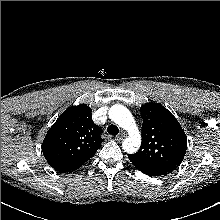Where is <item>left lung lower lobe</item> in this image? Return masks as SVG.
Returning <instances> with one entry per match:
<instances>
[{"label": "left lung lower lobe", "instance_id": "left-lung-lower-lobe-1", "mask_svg": "<svg viewBox=\"0 0 220 220\" xmlns=\"http://www.w3.org/2000/svg\"><path fill=\"white\" fill-rule=\"evenodd\" d=\"M129 160L132 162V164L141 172H143L144 174L150 175V176H160L163 175L161 174L159 171L151 168L150 166H148L147 164H145L144 162L138 161L135 158H133L132 156L128 155Z\"/></svg>", "mask_w": 220, "mask_h": 220}]
</instances>
